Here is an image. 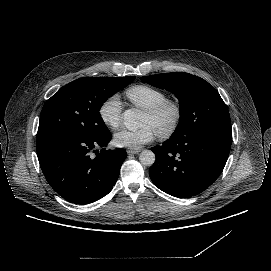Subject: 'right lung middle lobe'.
Here are the masks:
<instances>
[{
    "mask_svg": "<svg viewBox=\"0 0 271 271\" xmlns=\"http://www.w3.org/2000/svg\"><path fill=\"white\" fill-rule=\"evenodd\" d=\"M134 79V76L84 77L65 85L45 103L37 136L48 132H70L96 137L108 131L100 108Z\"/></svg>",
    "mask_w": 271,
    "mask_h": 271,
    "instance_id": "dd1d6c3e",
    "label": "right lung middle lobe"
}]
</instances>
